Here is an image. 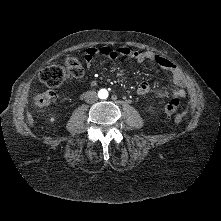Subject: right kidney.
I'll use <instances>...</instances> for the list:
<instances>
[{
    "instance_id": "obj_1",
    "label": "right kidney",
    "mask_w": 221,
    "mask_h": 221,
    "mask_svg": "<svg viewBox=\"0 0 221 221\" xmlns=\"http://www.w3.org/2000/svg\"><path fill=\"white\" fill-rule=\"evenodd\" d=\"M55 120H56V118H55V117H51V118L49 119V122H50V123H54V122H55Z\"/></svg>"
}]
</instances>
